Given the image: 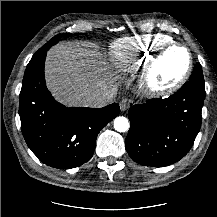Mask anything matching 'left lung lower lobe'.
Instances as JSON below:
<instances>
[{
    "instance_id": "1",
    "label": "left lung lower lobe",
    "mask_w": 217,
    "mask_h": 217,
    "mask_svg": "<svg viewBox=\"0 0 217 217\" xmlns=\"http://www.w3.org/2000/svg\"><path fill=\"white\" fill-rule=\"evenodd\" d=\"M204 99L205 88L188 81L168 98L132 106L125 140L130 157L152 167L168 166L182 159L200 130Z\"/></svg>"
}]
</instances>
